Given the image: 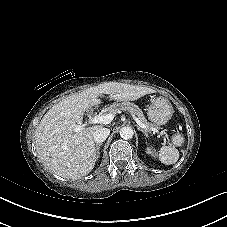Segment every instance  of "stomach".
<instances>
[{"instance_id": "obj_1", "label": "stomach", "mask_w": 227, "mask_h": 227, "mask_svg": "<svg viewBox=\"0 0 227 227\" xmlns=\"http://www.w3.org/2000/svg\"><path fill=\"white\" fill-rule=\"evenodd\" d=\"M172 114L173 107L164 97L155 98L147 110L149 120L155 125H164L171 119Z\"/></svg>"}]
</instances>
